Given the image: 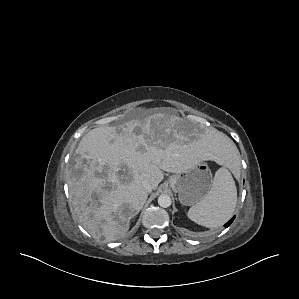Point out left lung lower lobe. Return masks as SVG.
<instances>
[{
    "label": "left lung lower lobe",
    "instance_id": "left-lung-lower-lobe-1",
    "mask_svg": "<svg viewBox=\"0 0 299 299\" xmlns=\"http://www.w3.org/2000/svg\"><path fill=\"white\" fill-rule=\"evenodd\" d=\"M234 219H235V216L232 217L224 226L228 227L233 222Z\"/></svg>",
    "mask_w": 299,
    "mask_h": 299
}]
</instances>
